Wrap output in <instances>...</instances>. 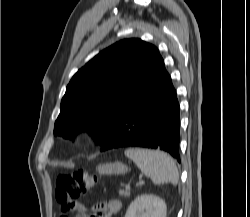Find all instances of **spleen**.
<instances>
[{
	"label": "spleen",
	"instance_id": "3e777b00",
	"mask_svg": "<svg viewBox=\"0 0 250 217\" xmlns=\"http://www.w3.org/2000/svg\"><path fill=\"white\" fill-rule=\"evenodd\" d=\"M125 155L133 160L141 172L150 177L154 184L171 183L176 185L178 183V169L173 158L166 153L129 148L125 150Z\"/></svg>",
	"mask_w": 250,
	"mask_h": 217
}]
</instances>
